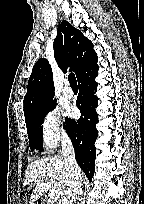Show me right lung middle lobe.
Masks as SVG:
<instances>
[{"label":"right lung middle lobe","instance_id":"right-lung-middle-lobe-1","mask_svg":"<svg viewBox=\"0 0 144 204\" xmlns=\"http://www.w3.org/2000/svg\"><path fill=\"white\" fill-rule=\"evenodd\" d=\"M55 107L56 101L54 100L25 119L29 137V145L32 150L38 149L42 151L43 131L41 125L46 114L52 111Z\"/></svg>","mask_w":144,"mask_h":204}]
</instances>
